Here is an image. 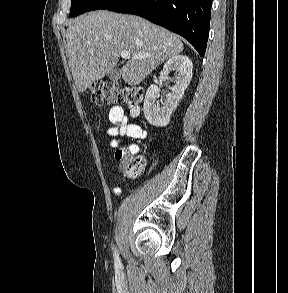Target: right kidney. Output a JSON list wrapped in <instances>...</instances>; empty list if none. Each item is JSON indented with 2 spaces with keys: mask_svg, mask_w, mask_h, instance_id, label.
Listing matches in <instances>:
<instances>
[{
  "mask_svg": "<svg viewBox=\"0 0 288 293\" xmlns=\"http://www.w3.org/2000/svg\"><path fill=\"white\" fill-rule=\"evenodd\" d=\"M192 61L184 55H177L170 58L163 66L160 77L166 79L171 71L176 73L174 86L171 87V92L166 94V98L159 101L160 89L157 85L152 84L145 95L144 99V116L146 120L153 126L164 127L182 99L185 90L187 89L192 79Z\"/></svg>",
  "mask_w": 288,
  "mask_h": 293,
  "instance_id": "obj_1",
  "label": "right kidney"
}]
</instances>
